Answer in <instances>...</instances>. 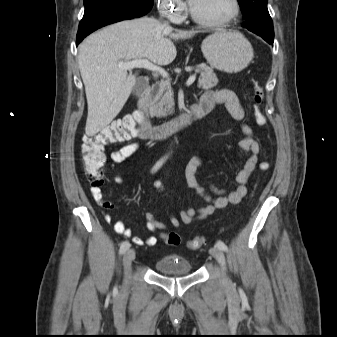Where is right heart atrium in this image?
<instances>
[{
	"label": "right heart atrium",
	"mask_w": 337,
	"mask_h": 337,
	"mask_svg": "<svg viewBox=\"0 0 337 337\" xmlns=\"http://www.w3.org/2000/svg\"><path fill=\"white\" fill-rule=\"evenodd\" d=\"M160 12L172 22H179L186 12V5L182 0H156Z\"/></svg>",
	"instance_id": "d8ad5b80"
}]
</instances>
